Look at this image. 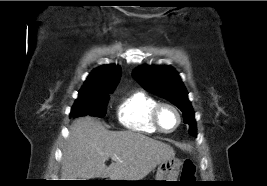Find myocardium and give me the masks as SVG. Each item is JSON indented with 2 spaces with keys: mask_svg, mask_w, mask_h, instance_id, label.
Returning <instances> with one entry per match:
<instances>
[{
  "mask_svg": "<svg viewBox=\"0 0 267 186\" xmlns=\"http://www.w3.org/2000/svg\"><path fill=\"white\" fill-rule=\"evenodd\" d=\"M165 107L171 108L177 115V123L175 127L171 130H165L160 123V113L162 109ZM151 121L158 132L163 133V134H170L176 131L181 125L182 115H181L180 110L174 104L168 103V102H159L155 105V107L152 110Z\"/></svg>",
  "mask_w": 267,
  "mask_h": 186,
  "instance_id": "1",
  "label": "myocardium"
}]
</instances>
